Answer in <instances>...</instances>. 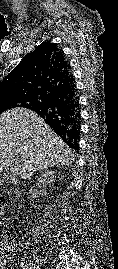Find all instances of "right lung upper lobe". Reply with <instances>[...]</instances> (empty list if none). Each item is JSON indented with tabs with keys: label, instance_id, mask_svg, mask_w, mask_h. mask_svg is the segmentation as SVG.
Here are the masks:
<instances>
[{
	"label": "right lung upper lobe",
	"instance_id": "cb5924a9",
	"mask_svg": "<svg viewBox=\"0 0 118 269\" xmlns=\"http://www.w3.org/2000/svg\"><path fill=\"white\" fill-rule=\"evenodd\" d=\"M73 83L70 65L63 51L47 41L27 54L3 79L0 99L31 97L37 102L35 106H39Z\"/></svg>",
	"mask_w": 118,
	"mask_h": 269
}]
</instances>
